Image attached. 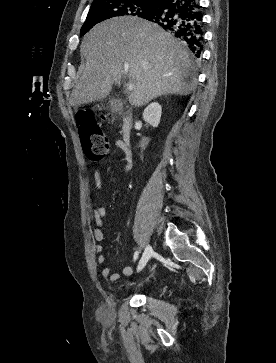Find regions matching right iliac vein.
I'll list each match as a JSON object with an SVG mask.
<instances>
[{
  "label": "right iliac vein",
  "instance_id": "63e3f726",
  "mask_svg": "<svg viewBox=\"0 0 276 363\" xmlns=\"http://www.w3.org/2000/svg\"><path fill=\"white\" fill-rule=\"evenodd\" d=\"M153 254V249L150 245H147L145 250H144V253L142 255V258L139 262V265L140 266L142 263H144V266L146 265V263L149 261V259L151 258Z\"/></svg>",
  "mask_w": 276,
  "mask_h": 363
}]
</instances>
